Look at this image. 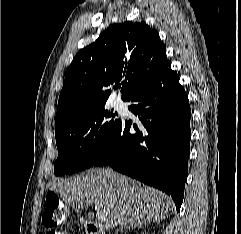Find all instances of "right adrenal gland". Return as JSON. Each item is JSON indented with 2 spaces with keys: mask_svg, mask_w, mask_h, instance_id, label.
Here are the masks:
<instances>
[{
  "mask_svg": "<svg viewBox=\"0 0 241 234\" xmlns=\"http://www.w3.org/2000/svg\"><path fill=\"white\" fill-rule=\"evenodd\" d=\"M136 226L132 225V224H126L121 226L119 229L123 230V229H130V228H135Z\"/></svg>",
  "mask_w": 241,
  "mask_h": 234,
  "instance_id": "obj_1",
  "label": "right adrenal gland"
}]
</instances>
